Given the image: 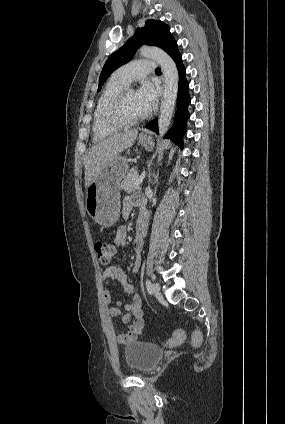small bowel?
Masks as SVG:
<instances>
[{
  "label": "small bowel",
  "mask_w": 285,
  "mask_h": 424,
  "mask_svg": "<svg viewBox=\"0 0 285 424\" xmlns=\"http://www.w3.org/2000/svg\"><path fill=\"white\" fill-rule=\"evenodd\" d=\"M140 209V216L146 215L144 211V199L138 194L127 196L122 202V216L128 218L133 208ZM147 216V215H146ZM127 244V232L124 226H120L117 229L114 245L118 248H124ZM143 247V240L141 237H135L133 241V248L136 253L133 271L138 272L141 265V250ZM117 280L123 291L127 294L132 295V300L128 303L122 304L121 301H117L116 304L107 309V315L110 318H115L121 315L122 322L128 326L127 331L124 333L117 334L115 340L120 345L128 344L136 340L144 328V313L142 306L141 296L136 292V288L132 285L127 275L118 264L107 266L102 270L101 283L104 289L101 294L102 303L108 307L111 303V293L106 286L112 281ZM122 308L124 312H122Z\"/></svg>",
  "instance_id": "obj_1"
}]
</instances>
